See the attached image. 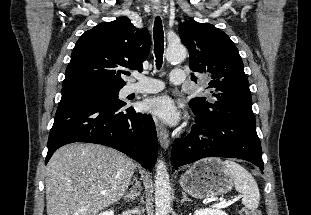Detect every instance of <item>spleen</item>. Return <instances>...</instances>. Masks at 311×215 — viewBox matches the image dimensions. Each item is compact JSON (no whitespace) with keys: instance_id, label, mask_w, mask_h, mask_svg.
<instances>
[{"instance_id":"spleen-1","label":"spleen","mask_w":311,"mask_h":215,"mask_svg":"<svg viewBox=\"0 0 311 215\" xmlns=\"http://www.w3.org/2000/svg\"><path fill=\"white\" fill-rule=\"evenodd\" d=\"M223 165L232 176L235 189L243 194L242 204L250 210H256L260 201V193L254 177L233 160H225Z\"/></svg>"}]
</instances>
